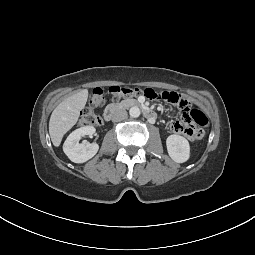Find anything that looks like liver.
Instances as JSON below:
<instances>
[{
    "label": "liver",
    "mask_w": 255,
    "mask_h": 255,
    "mask_svg": "<svg viewBox=\"0 0 255 255\" xmlns=\"http://www.w3.org/2000/svg\"><path fill=\"white\" fill-rule=\"evenodd\" d=\"M88 93L81 91L64 99L52 112L49 134L54 146L58 147L65 133L78 121L79 112L86 104Z\"/></svg>",
    "instance_id": "6515ba94"
}]
</instances>
